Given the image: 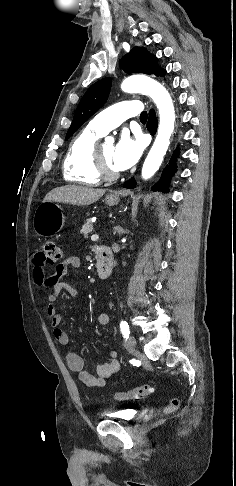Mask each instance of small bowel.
<instances>
[{
  "mask_svg": "<svg viewBox=\"0 0 236 486\" xmlns=\"http://www.w3.org/2000/svg\"><path fill=\"white\" fill-rule=\"evenodd\" d=\"M46 263L43 261L41 253L34 257L33 279L34 283L43 288H50L51 292L47 295L48 305L46 313L51 320L53 334L55 339L61 345L70 343V334L61 325V314L57 307V301L61 291H66L71 296H76L78 290L69 284L59 282V279L67 274L68 267L79 268L80 259L76 256L67 258L64 262L56 265L53 274H47L45 271ZM98 322L101 325L109 323V316L105 313L99 314ZM66 362L70 370L79 374L80 380L90 388H101L105 385L106 380L117 373L120 369V363L116 351L109 352L107 362L97 365L95 374L85 369L83 358L75 352H69L66 356Z\"/></svg>",
  "mask_w": 236,
  "mask_h": 486,
  "instance_id": "c3829d8e",
  "label": "small bowel"
}]
</instances>
